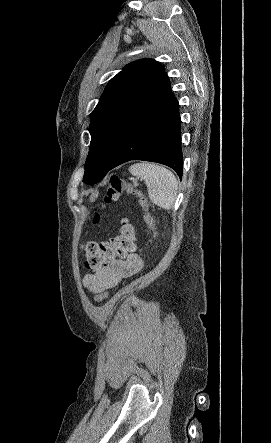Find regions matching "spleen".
<instances>
[{
    "label": "spleen",
    "mask_w": 271,
    "mask_h": 443,
    "mask_svg": "<svg viewBox=\"0 0 271 443\" xmlns=\"http://www.w3.org/2000/svg\"><path fill=\"white\" fill-rule=\"evenodd\" d=\"M129 172L132 176L144 180L148 188L149 198L153 204H156L159 208H164V210H171L175 202L178 182L170 170L157 166V164L142 162V164L130 166Z\"/></svg>",
    "instance_id": "obj_1"
}]
</instances>
